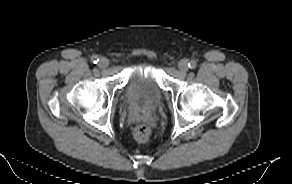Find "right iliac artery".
<instances>
[{"label": "right iliac artery", "instance_id": "1", "mask_svg": "<svg viewBox=\"0 0 292 184\" xmlns=\"http://www.w3.org/2000/svg\"><path fill=\"white\" fill-rule=\"evenodd\" d=\"M91 61H92L93 63H97V62L99 61V59H98L97 56H92V57H91Z\"/></svg>", "mask_w": 292, "mask_h": 184}]
</instances>
